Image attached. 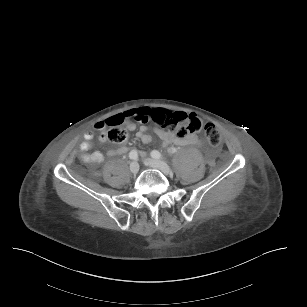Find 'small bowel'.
Returning a JSON list of instances; mask_svg holds the SVG:
<instances>
[{
  "mask_svg": "<svg viewBox=\"0 0 307 307\" xmlns=\"http://www.w3.org/2000/svg\"><path fill=\"white\" fill-rule=\"evenodd\" d=\"M150 110L148 108H137L134 110H131L128 113V116H139V117H145ZM146 123V122H145ZM126 127L128 130L134 129V124L132 123H127ZM96 130H102V125L101 123L96 124L95 126ZM148 126L147 125H142L139 130L136 133V136L138 139H140L144 143H148L152 141V137L147 133ZM158 136L162 140V144L164 146L168 145H192V146H197V147H202V142L198 138L196 134H191L185 137H178L174 133L170 132H164L160 129L157 131ZM93 139H94V132L92 130H88L84 134V141L80 144V151L83 153L82 159L85 162L89 163H101L104 161V154L102 152L96 151L91 154L86 153L92 148L93 145ZM100 139L102 141L105 140L104 135L102 134ZM129 150L128 146L126 144L122 145L118 149H111L107 152L108 156H114L115 154H122L126 153Z\"/></svg>",
  "mask_w": 307,
  "mask_h": 307,
  "instance_id": "c3829d8e",
  "label": "small bowel"
}]
</instances>
